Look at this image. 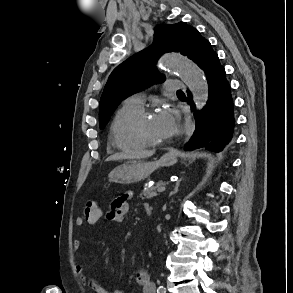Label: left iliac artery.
Instances as JSON below:
<instances>
[{
  "label": "left iliac artery",
  "mask_w": 293,
  "mask_h": 293,
  "mask_svg": "<svg viewBox=\"0 0 293 293\" xmlns=\"http://www.w3.org/2000/svg\"><path fill=\"white\" fill-rule=\"evenodd\" d=\"M157 293H166V288L163 286H160L157 290Z\"/></svg>",
  "instance_id": "left-iliac-artery-1"
}]
</instances>
